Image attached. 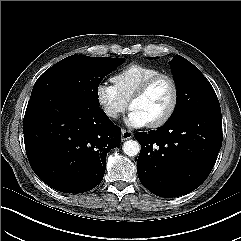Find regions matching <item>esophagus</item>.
<instances>
[{
  "instance_id": "34e87169",
  "label": "esophagus",
  "mask_w": 241,
  "mask_h": 241,
  "mask_svg": "<svg viewBox=\"0 0 241 241\" xmlns=\"http://www.w3.org/2000/svg\"><path fill=\"white\" fill-rule=\"evenodd\" d=\"M132 137H133V133L131 131L125 130V129L122 130V139L123 140H128Z\"/></svg>"
}]
</instances>
